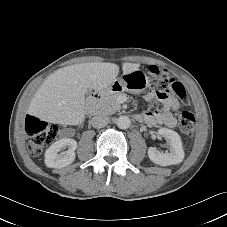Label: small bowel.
<instances>
[{"instance_id": "1", "label": "small bowel", "mask_w": 227, "mask_h": 227, "mask_svg": "<svg viewBox=\"0 0 227 227\" xmlns=\"http://www.w3.org/2000/svg\"><path fill=\"white\" fill-rule=\"evenodd\" d=\"M145 100L150 103L155 100L156 103L163 105V109L161 111L156 110L142 113L139 118L140 121L149 126L158 124H162L170 128H174L176 126V118L172 112L178 110L179 102L174 97L172 91L157 89L154 92H148L145 95Z\"/></svg>"}]
</instances>
